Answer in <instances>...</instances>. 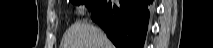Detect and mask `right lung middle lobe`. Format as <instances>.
<instances>
[{
    "mask_svg": "<svg viewBox=\"0 0 213 48\" xmlns=\"http://www.w3.org/2000/svg\"><path fill=\"white\" fill-rule=\"evenodd\" d=\"M98 0H70L72 4L80 5L84 4L88 7L89 10L96 4Z\"/></svg>",
    "mask_w": 213,
    "mask_h": 48,
    "instance_id": "1",
    "label": "right lung middle lobe"
}]
</instances>
